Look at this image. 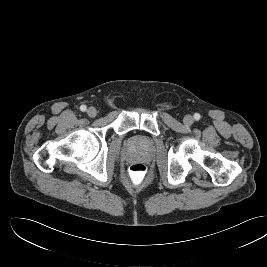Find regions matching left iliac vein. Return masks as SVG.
I'll return each mask as SVG.
<instances>
[{
    "label": "left iliac vein",
    "instance_id": "left-iliac-vein-1",
    "mask_svg": "<svg viewBox=\"0 0 267 267\" xmlns=\"http://www.w3.org/2000/svg\"><path fill=\"white\" fill-rule=\"evenodd\" d=\"M183 122L186 124V125H192L193 122H194V118L191 116V115H186L183 119Z\"/></svg>",
    "mask_w": 267,
    "mask_h": 267
}]
</instances>
